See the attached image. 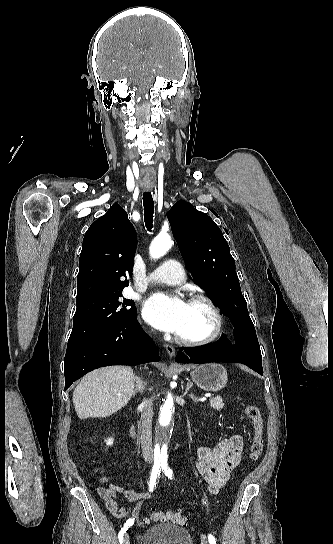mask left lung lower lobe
<instances>
[{"mask_svg":"<svg viewBox=\"0 0 333 544\" xmlns=\"http://www.w3.org/2000/svg\"><path fill=\"white\" fill-rule=\"evenodd\" d=\"M234 336L236 340L235 345H232L222 335L215 343L197 348H184V352H178L176 361L201 364L216 359L219 362L242 363L262 375V356L258 345L256 344L254 348L247 342H241L237 338L236 333Z\"/></svg>","mask_w":333,"mask_h":544,"instance_id":"left-lung-lower-lobe-1","label":"left lung lower lobe"}]
</instances>
